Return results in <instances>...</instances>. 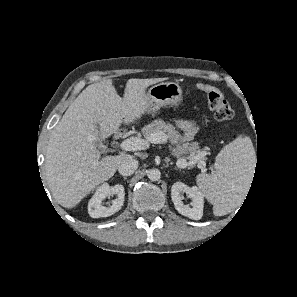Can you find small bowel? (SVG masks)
Segmentation results:
<instances>
[{"mask_svg":"<svg viewBox=\"0 0 297 297\" xmlns=\"http://www.w3.org/2000/svg\"><path fill=\"white\" fill-rule=\"evenodd\" d=\"M175 124L183 131V136L186 140H191L198 131V126L192 121L177 120Z\"/></svg>","mask_w":297,"mask_h":297,"instance_id":"obj_1","label":"small bowel"}]
</instances>
